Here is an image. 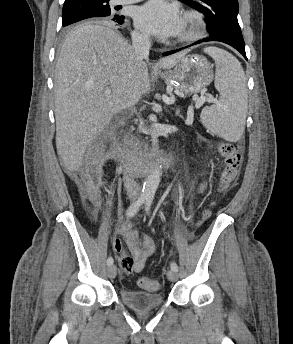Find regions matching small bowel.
<instances>
[{
  "mask_svg": "<svg viewBox=\"0 0 293 344\" xmlns=\"http://www.w3.org/2000/svg\"><path fill=\"white\" fill-rule=\"evenodd\" d=\"M207 184V180L203 181L196 191L202 192L207 187ZM86 192L92 204L97 207L99 200L94 188L88 186ZM119 233L125 241L129 251V255L125 253L122 238L114 237L112 239V248L117 253L116 259L120 269L125 274L140 273L144 268L146 260L155 251L154 240L150 236L140 237L128 222L120 227Z\"/></svg>",
  "mask_w": 293,
  "mask_h": 344,
  "instance_id": "1",
  "label": "small bowel"
}]
</instances>
